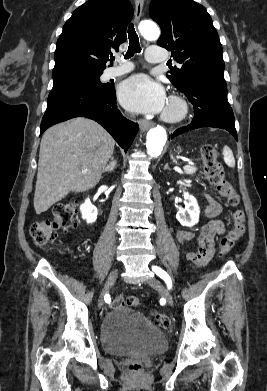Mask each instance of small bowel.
<instances>
[{"label": "small bowel", "instance_id": "small-bowel-1", "mask_svg": "<svg viewBox=\"0 0 267 391\" xmlns=\"http://www.w3.org/2000/svg\"><path fill=\"white\" fill-rule=\"evenodd\" d=\"M207 205L205 214L210 221L203 225L197 236L198 250L188 252L186 258L196 266H205L213 257L216 250V236L225 232L224 222L218 218L221 213V205L208 193L205 194ZM194 233L190 231H179L177 240L179 243L189 241L194 238Z\"/></svg>", "mask_w": 267, "mask_h": 391}]
</instances>
